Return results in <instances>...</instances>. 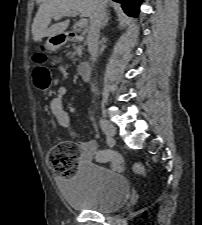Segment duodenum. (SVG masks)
<instances>
[{
    "mask_svg": "<svg viewBox=\"0 0 202 225\" xmlns=\"http://www.w3.org/2000/svg\"><path fill=\"white\" fill-rule=\"evenodd\" d=\"M56 40L59 44H62L66 41L79 42L81 37L75 32H68L64 35H59L56 37ZM78 74L82 76L85 80H88L91 74V68L89 64L82 62L78 66Z\"/></svg>",
    "mask_w": 202,
    "mask_h": 225,
    "instance_id": "obj_1",
    "label": "duodenum"
}]
</instances>
